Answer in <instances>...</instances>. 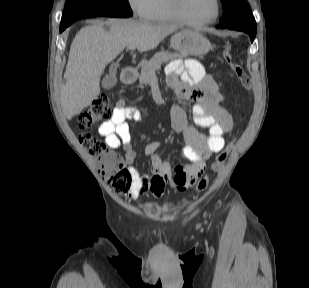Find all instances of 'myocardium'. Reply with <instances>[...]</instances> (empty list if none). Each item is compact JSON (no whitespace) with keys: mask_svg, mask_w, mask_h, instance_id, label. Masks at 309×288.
I'll return each mask as SVG.
<instances>
[{"mask_svg":"<svg viewBox=\"0 0 309 288\" xmlns=\"http://www.w3.org/2000/svg\"><path fill=\"white\" fill-rule=\"evenodd\" d=\"M170 3L172 12L177 21L194 28H200L212 24L219 18L221 13V2L220 0H215V12L210 18L202 21H193L184 15L182 11V0H170Z\"/></svg>","mask_w":309,"mask_h":288,"instance_id":"obj_1","label":"myocardium"}]
</instances>
